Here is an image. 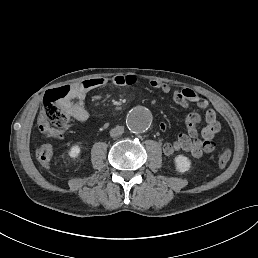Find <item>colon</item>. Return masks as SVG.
Wrapping results in <instances>:
<instances>
[{"label": "colon", "instance_id": "colon-1", "mask_svg": "<svg viewBox=\"0 0 258 258\" xmlns=\"http://www.w3.org/2000/svg\"><path fill=\"white\" fill-rule=\"evenodd\" d=\"M72 88L64 85L48 91L38 117L40 134L51 139H58L65 135L71 127L70 116L64 111L63 103L71 95ZM231 158V151L226 148L217 157V165L225 167Z\"/></svg>", "mask_w": 258, "mask_h": 258}]
</instances>
